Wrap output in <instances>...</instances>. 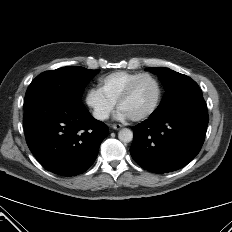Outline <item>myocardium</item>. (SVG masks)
<instances>
[{
	"label": "myocardium",
	"instance_id": "f54148a6",
	"mask_svg": "<svg viewBox=\"0 0 232 232\" xmlns=\"http://www.w3.org/2000/svg\"><path fill=\"white\" fill-rule=\"evenodd\" d=\"M143 78H150L151 80L154 81V83L156 84V87H157V96H156V100H155L154 104L152 105V107L148 111H146L145 113H143L139 116L130 117L133 121H141V120H145V119L151 117L157 111V109L161 103V100H162L163 90H162V86H161V83L158 80V78L150 73H141L130 82V84L128 85L126 90L123 92V94L118 99V101H117L118 108L120 109L121 105L132 96L136 85Z\"/></svg>",
	"mask_w": 232,
	"mask_h": 232
}]
</instances>
